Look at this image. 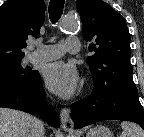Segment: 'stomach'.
<instances>
[{"instance_id":"1","label":"stomach","mask_w":144,"mask_h":137,"mask_svg":"<svg viewBox=\"0 0 144 137\" xmlns=\"http://www.w3.org/2000/svg\"><path fill=\"white\" fill-rule=\"evenodd\" d=\"M86 137H113L111 131L102 125L92 128Z\"/></svg>"}]
</instances>
